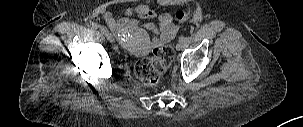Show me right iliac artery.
<instances>
[{"instance_id": "82829eb1", "label": "right iliac artery", "mask_w": 303, "mask_h": 127, "mask_svg": "<svg viewBox=\"0 0 303 127\" xmlns=\"http://www.w3.org/2000/svg\"><path fill=\"white\" fill-rule=\"evenodd\" d=\"M94 27L96 29H99L101 33H103L104 35L108 33V30L105 27L101 26L100 24H95Z\"/></svg>"}]
</instances>
